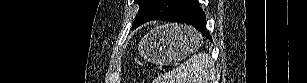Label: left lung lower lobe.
Here are the masks:
<instances>
[{"mask_svg":"<svg viewBox=\"0 0 307 83\" xmlns=\"http://www.w3.org/2000/svg\"><path fill=\"white\" fill-rule=\"evenodd\" d=\"M162 20L191 24L212 40L206 29V17L198 0H176Z\"/></svg>","mask_w":307,"mask_h":83,"instance_id":"obj_1","label":"left lung lower lobe"}]
</instances>
